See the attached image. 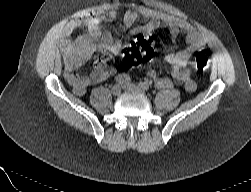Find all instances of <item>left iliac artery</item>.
I'll use <instances>...</instances> for the list:
<instances>
[{"mask_svg":"<svg viewBox=\"0 0 251 192\" xmlns=\"http://www.w3.org/2000/svg\"><path fill=\"white\" fill-rule=\"evenodd\" d=\"M139 86L143 89V90H148L151 87V82L145 81V82H140Z\"/></svg>","mask_w":251,"mask_h":192,"instance_id":"obj_1","label":"left iliac artery"}]
</instances>
